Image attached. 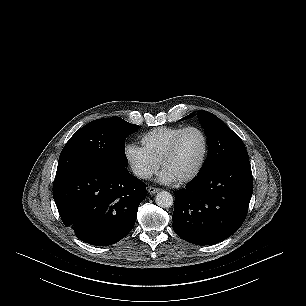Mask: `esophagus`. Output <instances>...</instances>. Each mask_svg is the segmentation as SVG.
Masks as SVG:
<instances>
[{
    "label": "esophagus",
    "mask_w": 306,
    "mask_h": 306,
    "mask_svg": "<svg viewBox=\"0 0 306 306\" xmlns=\"http://www.w3.org/2000/svg\"><path fill=\"white\" fill-rule=\"evenodd\" d=\"M160 191V188H156V187H149L148 188V192L150 193V194H155V193H157V192H159Z\"/></svg>",
    "instance_id": "esophagus-1"
}]
</instances>
